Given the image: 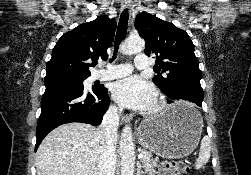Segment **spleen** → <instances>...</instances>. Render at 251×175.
Returning a JSON list of instances; mask_svg holds the SVG:
<instances>
[{"mask_svg": "<svg viewBox=\"0 0 251 175\" xmlns=\"http://www.w3.org/2000/svg\"><path fill=\"white\" fill-rule=\"evenodd\" d=\"M210 145H211L210 137H208V135H204L200 143L199 157L195 161V169H200V167H203V165L207 163L208 159H210V149H211Z\"/></svg>", "mask_w": 251, "mask_h": 175, "instance_id": "3e777b00", "label": "spleen"}]
</instances>
